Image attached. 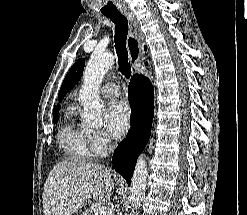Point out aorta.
Instances as JSON below:
<instances>
[{"instance_id": "1", "label": "aorta", "mask_w": 247, "mask_h": 215, "mask_svg": "<svg viewBox=\"0 0 247 215\" xmlns=\"http://www.w3.org/2000/svg\"><path fill=\"white\" fill-rule=\"evenodd\" d=\"M113 64L114 56L111 53L99 52H94L87 63L79 92V100L83 105L82 121L86 127L98 128L103 124L104 105L100 101L99 91L106 72ZM147 176V163L143 155H140L131 180L133 210H137L144 199Z\"/></svg>"}]
</instances>
